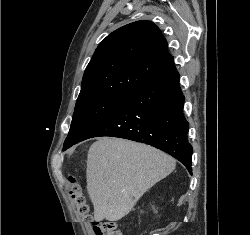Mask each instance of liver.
I'll return each instance as SVG.
<instances>
[{"label":"liver","mask_w":250,"mask_h":235,"mask_svg":"<svg viewBox=\"0 0 250 235\" xmlns=\"http://www.w3.org/2000/svg\"><path fill=\"white\" fill-rule=\"evenodd\" d=\"M175 166L171 156L145 144L119 138L94 142L88 151L86 177L95 220L123 218Z\"/></svg>","instance_id":"6515ba94"}]
</instances>
